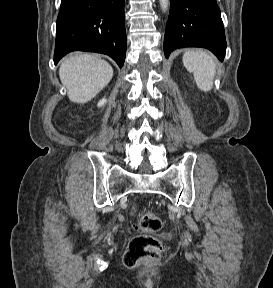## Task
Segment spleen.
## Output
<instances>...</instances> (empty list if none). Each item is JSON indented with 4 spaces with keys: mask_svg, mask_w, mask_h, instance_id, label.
<instances>
[{
    "mask_svg": "<svg viewBox=\"0 0 273 288\" xmlns=\"http://www.w3.org/2000/svg\"><path fill=\"white\" fill-rule=\"evenodd\" d=\"M182 61L187 71L193 73L197 87L204 92L210 91L216 73L213 57L206 51L190 50L184 53Z\"/></svg>",
    "mask_w": 273,
    "mask_h": 288,
    "instance_id": "3e777b00",
    "label": "spleen"
}]
</instances>
